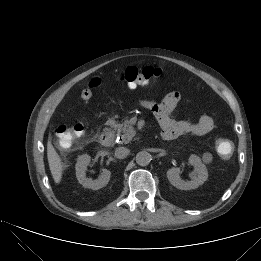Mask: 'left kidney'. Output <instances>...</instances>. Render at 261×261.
<instances>
[{"label": "left kidney", "mask_w": 261, "mask_h": 261, "mask_svg": "<svg viewBox=\"0 0 261 261\" xmlns=\"http://www.w3.org/2000/svg\"><path fill=\"white\" fill-rule=\"evenodd\" d=\"M189 164L194 166L196 176L191 181L181 179V170L178 167L170 168L167 171V178L169 182L176 188L181 190H191L197 188L208 179V171L201 159L196 155H191L188 159Z\"/></svg>", "instance_id": "5707ae66"}]
</instances>
